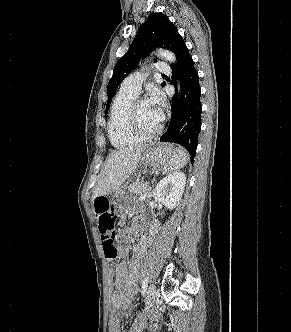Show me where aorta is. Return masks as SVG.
I'll list each match as a JSON object with an SVG mask.
<instances>
[{"instance_id": "762f6f07", "label": "aorta", "mask_w": 291, "mask_h": 332, "mask_svg": "<svg viewBox=\"0 0 291 332\" xmlns=\"http://www.w3.org/2000/svg\"><path fill=\"white\" fill-rule=\"evenodd\" d=\"M159 57L165 59L166 61L170 62V63H176V57L174 55V53H172L171 51L168 50H164V49H158L156 52ZM180 87V85H178V88Z\"/></svg>"}]
</instances>
